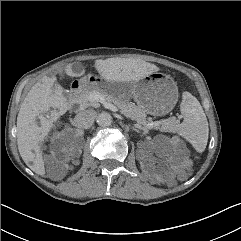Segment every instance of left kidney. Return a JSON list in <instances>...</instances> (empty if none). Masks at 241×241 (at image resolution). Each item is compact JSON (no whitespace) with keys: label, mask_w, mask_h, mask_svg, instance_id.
Segmentation results:
<instances>
[{"label":"left kidney","mask_w":241,"mask_h":241,"mask_svg":"<svg viewBox=\"0 0 241 241\" xmlns=\"http://www.w3.org/2000/svg\"><path fill=\"white\" fill-rule=\"evenodd\" d=\"M145 151H146L147 153H151V152H153V151L161 152V151H163V150H161V147L158 146L156 143L151 142L149 145L146 146Z\"/></svg>","instance_id":"1"}]
</instances>
